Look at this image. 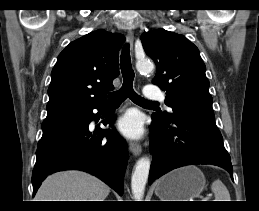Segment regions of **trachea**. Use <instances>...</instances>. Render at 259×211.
I'll return each instance as SVG.
<instances>
[{"label": "trachea", "mask_w": 259, "mask_h": 211, "mask_svg": "<svg viewBox=\"0 0 259 211\" xmlns=\"http://www.w3.org/2000/svg\"><path fill=\"white\" fill-rule=\"evenodd\" d=\"M121 72L123 77L122 87L118 91L109 95L110 102L121 103L127 97H129L133 102L138 104H158V102L144 99L134 91L133 81L135 74L131 65L128 45L124 47L123 53L121 55Z\"/></svg>", "instance_id": "trachea-1"}]
</instances>
